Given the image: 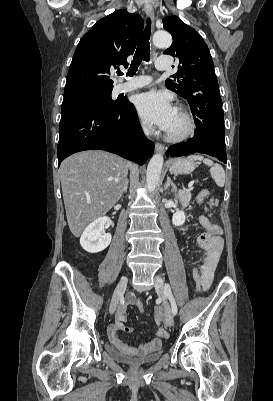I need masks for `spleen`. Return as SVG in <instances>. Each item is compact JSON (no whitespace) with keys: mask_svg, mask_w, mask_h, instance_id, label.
I'll return each mask as SVG.
<instances>
[{"mask_svg":"<svg viewBox=\"0 0 273 401\" xmlns=\"http://www.w3.org/2000/svg\"><path fill=\"white\" fill-rule=\"evenodd\" d=\"M187 158H190V160H203L205 164H208V166H211L210 172L212 178H214L216 184L218 186H224L225 184V172L223 166L221 164H217V162H213V160H210V158H204L202 154H191V156H187Z\"/></svg>","mask_w":273,"mask_h":401,"instance_id":"spleen-1","label":"spleen"}]
</instances>
